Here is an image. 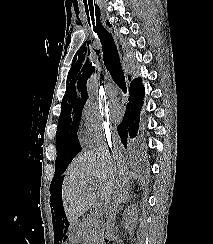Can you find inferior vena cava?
<instances>
[{
    "label": "inferior vena cava",
    "mask_w": 213,
    "mask_h": 244,
    "mask_svg": "<svg viewBox=\"0 0 213 244\" xmlns=\"http://www.w3.org/2000/svg\"><path fill=\"white\" fill-rule=\"evenodd\" d=\"M113 142H118V137H113ZM114 147V152L118 154L119 150L116 144L113 145ZM115 192L110 195L106 200H105V206L107 209V214L109 216V219H112L114 215L116 214L118 207H120V204L122 202V192L119 190L118 186L114 187Z\"/></svg>",
    "instance_id": "obj_1"
}]
</instances>
